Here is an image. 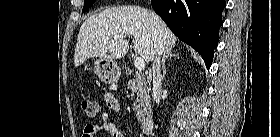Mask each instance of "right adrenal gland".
Listing matches in <instances>:
<instances>
[{
	"instance_id": "right-adrenal-gland-1",
	"label": "right adrenal gland",
	"mask_w": 280,
	"mask_h": 137,
	"mask_svg": "<svg viewBox=\"0 0 280 137\" xmlns=\"http://www.w3.org/2000/svg\"><path fill=\"white\" fill-rule=\"evenodd\" d=\"M175 56H179L178 53H173L172 52V49H167L164 53H163V59H162V79L165 78V75H166V60L168 58H171V57H175Z\"/></svg>"
}]
</instances>
